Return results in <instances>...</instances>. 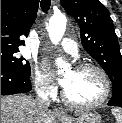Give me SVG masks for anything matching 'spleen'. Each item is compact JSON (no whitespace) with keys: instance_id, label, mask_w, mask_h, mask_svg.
Instances as JSON below:
<instances>
[{"instance_id":"3e777b00","label":"spleen","mask_w":122,"mask_h":123,"mask_svg":"<svg viewBox=\"0 0 122 123\" xmlns=\"http://www.w3.org/2000/svg\"><path fill=\"white\" fill-rule=\"evenodd\" d=\"M112 114L114 115L117 123H122V110L118 108H113Z\"/></svg>"}]
</instances>
